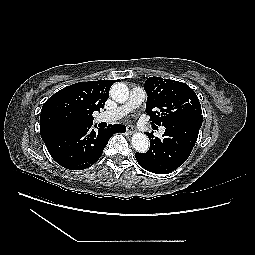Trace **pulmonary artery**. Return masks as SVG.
Segmentation results:
<instances>
[{
	"label": "pulmonary artery",
	"instance_id": "obj_1",
	"mask_svg": "<svg viewBox=\"0 0 255 255\" xmlns=\"http://www.w3.org/2000/svg\"><path fill=\"white\" fill-rule=\"evenodd\" d=\"M145 99H146V93L144 89L141 87H134L130 91L129 98L124 105L111 111L102 112L98 116V121L107 122V123L114 122L124 117L125 115H127L133 109L140 106ZM161 132H164V128H161Z\"/></svg>",
	"mask_w": 255,
	"mask_h": 255
}]
</instances>
